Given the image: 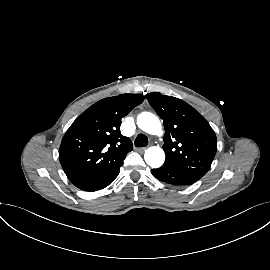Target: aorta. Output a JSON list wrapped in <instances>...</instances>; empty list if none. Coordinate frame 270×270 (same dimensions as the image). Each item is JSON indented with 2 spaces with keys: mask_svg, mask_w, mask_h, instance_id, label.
<instances>
[{
  "mask_svg": "<svg viewBox=\"0 0 270 270\" xmlns=\"http://www.w3.org/2000/svg\"><path fill=\"white\" fill-rule=\"evenodd\" d=\"M137 125L151 135L161 133L162 126L158 117L150 112H142L137 116ZM145 162L152 168H159L165 161V153L160 147H150L144 154Z\"/></svg>",
  "mask_w": 270,
  "mask_h": 270,
  "instance_id": "aorta-1",
  "label": "aorta"
}]
</instances>
